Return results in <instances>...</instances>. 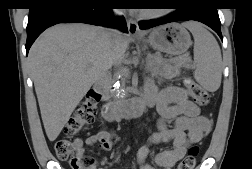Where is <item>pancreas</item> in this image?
<instances>
[{
	"label": "pancreas",
	"mask_w": 252,
	"mask_h": 169,
	"mask_svg": "<svg viewBox=\"0 0 252 169\" xmlns=\"http://www.w3.org/2000/svg\"><path fill=\"white\" fill-rule=\"evenodd\" d=\"M187 62L177 61L175 59H163L160 55H155L147 62V67L149 71L154 76H160L166 79H172L180 74V69L182 67H187ZM120 75H127L124 68L117 72ZM130 89L127 88L122 94L124 95L122 98H114L116 103L126 102L129 97Z\"/></svg>",
	"instance_id": "cf45deb5"
}]
</instances>
